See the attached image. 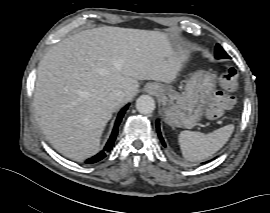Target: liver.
I'll list each match as a JSON object with an SVG mask.
<instances>
[{"label": "liver", "mask_w": 270, "mask_h": 213, "mask_svg": "<svg viewBox=\"0 0 270 213\" xmlns=\"http://www.w3.org/2000/svg\"><path fill=\"white\" fill-rule=\"evenodd\" d=\"M187 52L158 31L99 27L52 46L40 61L34 102L37 122L64 156L95 155L112 113L138 92V80L173 82ZM125 92L123 103L110 93Z\"/></svg>", "instance_id": "1"}]
</instances>
